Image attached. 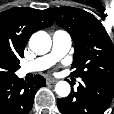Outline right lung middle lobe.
<instances>
[{"label":"right lung middle lobe","mask_w":114,"mask_h":114,"mask_svg":"<svg viewBox=\"0 0 114 114\" xmlns=\"http://www.w3.org/2000/svg\"><path fill=\"white\" fill-rule=\"evenodd\" d=\"M20 68L19 62L5 63L0 61V82H5L15 76V71Z\"/></svg>","instance_id":"obj_1"}]
</instances>
